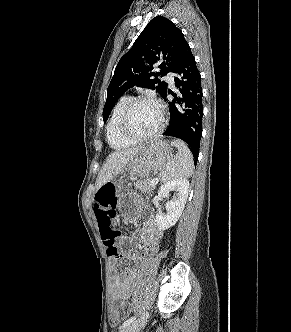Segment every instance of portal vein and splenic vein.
<instances>
[{"label":"portal vein and splenic vein","mask_w":291,"mask_h":332,"mask_svg":"<svg viewBox=\"0 0 291 332\" xmlns=\"http://www.w3.org/2000/svg\"><path fill=\"white\" fill-rule=\"evenodd\" d=\"M158 182H159L158 178H154V179L151 181V184H152L153 186H155Z\"/></svg>","instance_id":"obj_1"}]
</instances>
